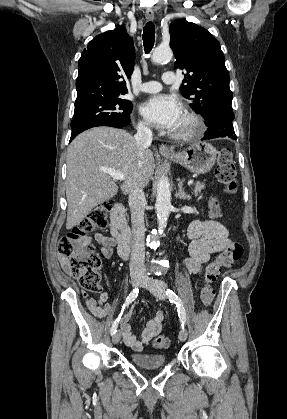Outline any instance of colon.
Returning <instances> with one entry per match:
<instances>
[{
	"instance_id": "5ec220e1",
	"label": "colon",
	"mask_w": 287,
	"mask_h": 419,
	"mask_svg": "<svg viewBox=\"0 0 287 419\" xmlns=\"http://www.w3.org/2000/svg\"><path fill=\"white\" fill-rule=\"evenodd\" d=\"M215 175L224 186L227 193H234L237 189V169L230 149H222L219 153ZM112 202L105 201L92 209L80 225L69 234L61 238L59 252L69 260V268L80 286L88 292H98L101 289V259L96 253L89 234L94 230L104 229L108 223V215L112 209ZM213 216L220 213L217 200L211 203ZM243 256V246L239 242H232L213 260L205 272V285L201 290L200 300L203 306L211 304L215 290L212 283L216 280L221 268L232 265ZM170 340L164 336L152 339L153 347L166 349Z\"/></svg>"
}]
</instances>
